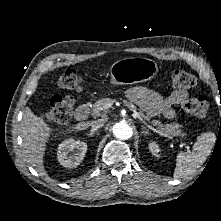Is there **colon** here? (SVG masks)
<instances>
[{
    "label": "colon",
    "instance_id": "1",
    "mask_svg": "<svg viewBox=\"0 0 221 221\" xmlns=\"http://www.w3.org/2000/svg\"><path fill=\"white\" fill-rule=\"evenodd\" d=\"M82 76L73 69H66L58 79V86L63 89L80 90ZM171 83L175 89L186 90L196 85V78L183 69H176L171 73ZM74 108V100L70 96L54 95L50 99V110L46 115L49 122L65 124L70 121ZM185 112L197 118L208 115L209 102L205 96H198L186 100L182 104Z\"/></svg>",
    "mask_w": 221,
    "mask_h": 221
}]
</instances>
